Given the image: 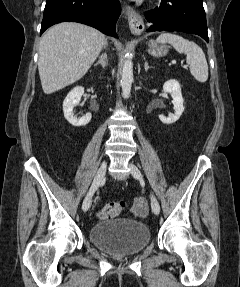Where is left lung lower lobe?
Here are the masks:
<instances>
[{
  "label": "left lung lower lobe",
  "instance_id": "obj_1",
  "mask_svg": "<svg viewBox=\"0 0 240 287\" xmlns=\"http://www.w3.org/2000/svg\"><path fill=\"white\" fill-rule=\"evenodd\" d=\"M148 31H182L197 34L208 42L202 0H162L159 7L145 12Z\"/></svg>",
  "mask_w": 240,
  "mask_h": 287
}]
</instances>
